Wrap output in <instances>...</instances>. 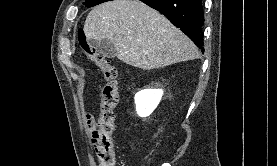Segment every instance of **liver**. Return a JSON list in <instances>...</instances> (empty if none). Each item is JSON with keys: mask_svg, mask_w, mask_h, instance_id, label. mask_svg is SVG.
Returning a JSON list of instances; mask_svg holds the SVG:
<instances>
[{"mask_svg": "<svg viewBox=\"0 0 277 166\" xmlns=\"http://www.w3.org/2000/svg\"><path fill=\"white\" fill-rule=\"evenodd\" d=\"M87 40L111 41L122 62L143 70L197 59L194 43L166 17L137 0H113L88 14Z\"/></svg>", "mask_w": 277, "mask_h": 166, "instance_id": "obj_1", "label": "liver"}]
</instances>
